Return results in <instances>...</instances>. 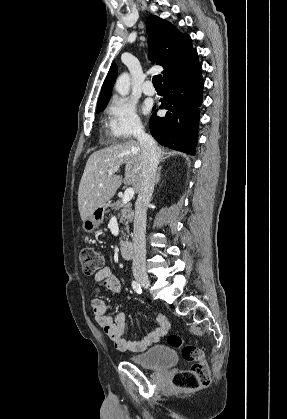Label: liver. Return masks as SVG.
I'll return each instance as SVG.
<instances>
[{
    "label": "liver",
    "instance_id": "1",
    "mask_svg": "<svg viewBox=\"0 0 287 419\" xmlns=\"http://www.w3.org/2000/svg\"><path fill=\"white\" fill-rule=\"evenodd\" d=\"M159 158L167 154L157 146ZM125 164V177L109 175L108 171ZM142 181V149L138 141L130 140L93 152L87 160L78 190V208L84 221L92 212L105 207L122 183L139 191Z\"/></svg>",
    "mask_w": 287,
    "mask_h": 419
}]
</instances>
